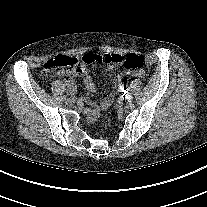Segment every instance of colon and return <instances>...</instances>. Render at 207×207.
I'll return each instance as SVG.
<instances>
[{
	"label": "colon",
	"instance_id": "colon-1",
	"mask_svg": "<svg viewBox=\"0 0 207 207\" xmlns=\"http://www.w3.org/2000/svg\"><path fill=\"white\" fill-rule=\"evenodd\" d=\"M102 62L105 64H121L127 70L143 69L145 66L144 59L136 54H128L122 57L118 54H86L81 60L71 55H58L45 64V71L65 70L75 72L80 64H92ZM67 77H68V73Z\"/></svg>",
	"mask_w": 207,
	"mask_h": 207
}]
</instances>
